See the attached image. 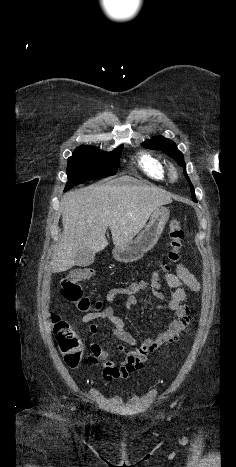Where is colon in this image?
Listing matches in <instances>:
<instances>
[{
  "label": "colon",
  "mask_w": 236,
  "mask_h": 467,
  "mask_svg": "<svg viewBox=\"0 0 236 467\" xmlns=\"http://www.w3.org/2000/svg\"><path fill=\"white\" fill-rule=\"evenodd\" d=\"M170 248L166 254L165 269L169 270L171 265L182 259V247L185 238V231L180 221L171 220L168 226ZM94 270L90 267L75 269L67 277L62 279L61 295L69 304L74 305L80 312H88L92 307L90 299L84 295L80 282L90 279ZM94 307L99 310L101 302H96ZM55 339L66 365L70 368L79 367L84 351V339L72 326L58 314L52 316Z\"/></svg>",
  "instance_id": "5ec220e1"
}]
</instances>
